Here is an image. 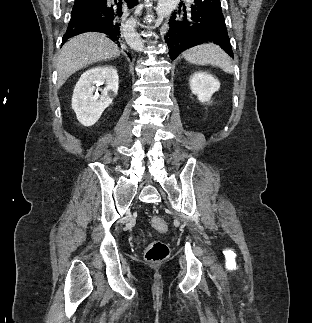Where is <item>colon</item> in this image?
Returning <instances> with one entry per match:
<instances>
[{
    "instance_id": "1",
    "label": "colon",
    "mask_w": 312,
    "mask_h": 323,
    "mask_svg": "<svg viewBox=\"0 0 312 323\" xmlns=\"http://www.w3.org/2000/svg\"><path fill=\"white\" fill-rule=\"evenodd\" d=\"M151 224L154 230L158 232H165L167 225L161 217L155 216L151 218ZM169 255V248L167 244L161 241H154L150 243L145 251V259L149 263H160L166 260Z\"/></svg>"
}]
</instances>
